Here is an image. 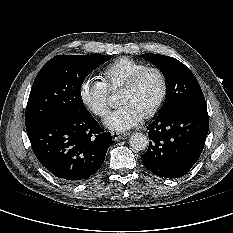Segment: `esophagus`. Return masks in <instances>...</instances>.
Segmentation results:
<instances>
[{"instance_id":"obj_1","label":"esophagus","mask_w":233,"mask_h":233,"mask_svg":"<svg viewBox=\"0 0 233 233\" xmlns=\"http://www.w3.org/2000/svg\"><path fill=\"white\" fill-rule=\"evenodd\" d=\"M129 134H122V133H118V132H111V136L113 138L114 141H118L121 139H124L128 136Z\"/></svg>"}]
</instances>
